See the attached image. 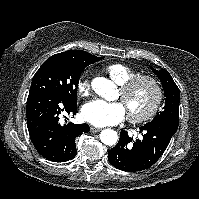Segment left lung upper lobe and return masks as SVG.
Wrapping results in <instances>:
<instances>
[{"mask_svg":"<svg viewBox=\"0 0 199 199\" xmlns=\"http://www.w3.org/2000/svg\"><path fill=\"white\" fill-rule=\"evenodd\" d=\"M157 77L161 80L165 99L163 111L157 114L154 119L149 122L167 123L178 127L179 125V88L173 81L171 75L165 69L153 70Z\"/></svg>","mask_w":199,"mask_h":199,"instance_id":"left-lung-upper-lobe-1","label":"left lung upper lobe"}]
</instances>
